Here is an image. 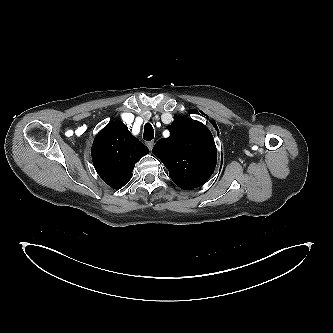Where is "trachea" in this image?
Returning <instances> with one entry per match:
<instances>
[{
    "label": "trachea",
    "mask_w": 333,
    "mask_h": 333,
    "mask_svg": "<svg viewBox=\"0 0 333 333\" xmlns=\"http://www.w3.org/2000/svg\"><path fill=\"white\" fill-rule=\"evenodd\" d=\"M143 138L146 141H151L154 138V129L150 123H146L144 126Z\"/></svg>",
    "instance_id": "trachea-1"
}]
</instances>
